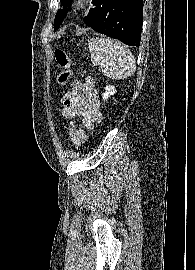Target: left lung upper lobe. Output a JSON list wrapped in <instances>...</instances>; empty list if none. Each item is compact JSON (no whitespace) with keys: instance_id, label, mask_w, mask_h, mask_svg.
I'll list each match as a JSON object with an SVG mask.
<instances>
[{"instance_id":"5c2ea615","label":"left lung upper lobe","mask_w":195,"mask_h":270,"mask_svg":"<svg viewBox=\"0 0 195 270\" xmlns=\"http://www.w3.org/2000/svg\"><path fill=\"white\" fill-rule=\"evenodd\" d=\"M73 0H61V3L65 4V8L63 10H58L56 16H55V20H54V31H56L60 24L62 23L63 19L66 16L67 13V6L72 2Z\"/></svg>"}]
</instances>
